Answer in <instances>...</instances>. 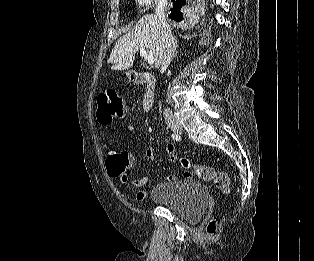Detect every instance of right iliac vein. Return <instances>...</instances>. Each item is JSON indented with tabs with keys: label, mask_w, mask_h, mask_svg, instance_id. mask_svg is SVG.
Segmentation results:
<instances>
[{
	"label": "right iliac vein",
	"mask_w": 314,
	"mask_h": 261,
	"mask_svg": "<svg viewBox=\"0 0 314 261\" xmlns=\"http://www.w3.org/2000/svg\"><path fill=\"white\" fill-rule=\"evenodd\" d=\"M168 125H169V127L173 131H175L177 133H182L183 132V128H182L181 124L178 121H174V120L170 121Z\"/></svg>",
	"instance_id": "obj_1"
}]
</instances>
